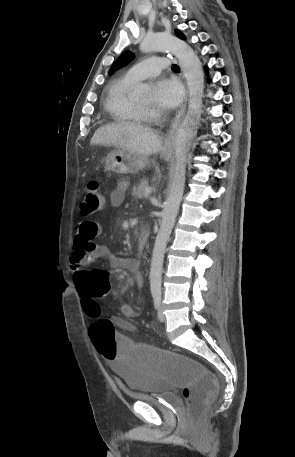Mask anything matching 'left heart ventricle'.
<instances>
[{"instance_id":"1","label":"left heart ventricle","mask_w":295,"mask_h":457,"mask_svg":"<svg viewBox=\"0 0 295 457\" xmlns=\"http://www.w3.org/2000/svg\"><path fill=\"white\" fill-rule=\"evenodd\" d=\"M150 102H146L145 104H149Z\"/></svg>"}]
</instances>
